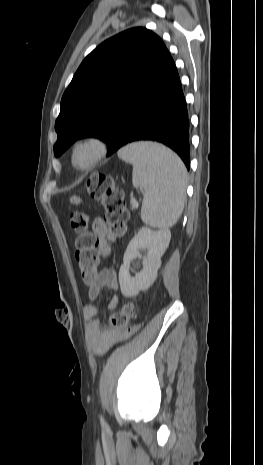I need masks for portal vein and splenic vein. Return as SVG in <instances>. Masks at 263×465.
Wrapping results in <instances>:
<instances>
[{
    "label": "portal vein and splenic vein",
    "mask_w": 263,
    "mask_h": 465,
    "mask_svg": "<svg viewBox=\"0 0 263 465\" xmlns=\"http://www.w3.org/2000/svg\"><path fill=\"white\" fill-rule=\"evenodd\" d=\"M133 208H137L139 206L138 202L135 200L131 202Z\"/></svg>",
    "instance_id": "1"
}]
</instances>
